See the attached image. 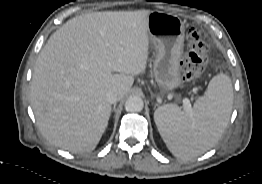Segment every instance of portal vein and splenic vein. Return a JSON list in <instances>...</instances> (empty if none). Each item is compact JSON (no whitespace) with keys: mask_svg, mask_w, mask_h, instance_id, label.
Listing matches in <instances>:
<instances>
[{"mask_svg":"<svg viewBox=\"0 0 262 184\" xmlns=\"http://www.w3.org/2000/svg\"><path fill=\"white\" fill-rule=\"evenodd\" d=\"M183 106H184V108H190L191 107L190 101L187 98L183 99Z\"/></svg>","mask_w":262,"mask_h":184,"instance_id":"obj_1","label":"portal vein and splenic vein"}]
</instances>
